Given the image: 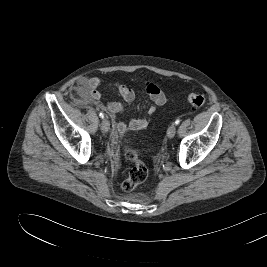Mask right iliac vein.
Instances as JSON below:
<instances>
[{"instance_id": "right-iliac-vein-1", "label": "right iliac vein", "mask_w": 267, "mask_h": 267, "mask_svg": "<svg viewBox=\"0 0 267 267\" xmlns=\"http://www.w3.org/2000/svg\"><path fill=\"white\" fill-rule=\"evenodd\" d=\"M109 128H110L109 121L106 118L103 119L102 122H101V130H102V132H104V133L107 132L109 130Z\"/></svg>"}]
</instances>
